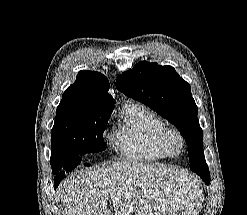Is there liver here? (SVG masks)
Instances as JSON below:
<instances>
[{
    "instance_id": "liver-1",
    "label": "liver",
    "mask_w": 247,
    "mask_h": 215,
    "mask_svg": "<svg viewBox=\"0 0 247 215\" xmlns=\"http://www.w3.org/2000/svg\"><path fill=\"white\" fill-rule=\"evenodd\" d=\"M179 175L184 174L172 166L117 162L71 174L59 186V197L66 215H131L159 185Z\"/></svg>"
}]
</instances>
